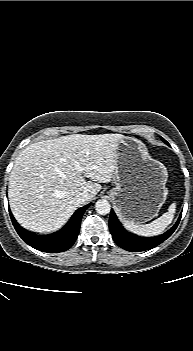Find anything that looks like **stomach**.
Returning a JSON list of instances; mask_svg holds the SVG:
<instances>
[{"mask_svg": "<svg viewBox=\"0 0 193 351\" xmlns=\"http://www.w3.org/2000/svg\"><path fill=\"white\" fill-rule=\"evenodd\" d=\"M115 187L109 191L119 217L145 223L157 216L167 197L168 172L140 140L123 136L116 149Z\"/></svg>", "mask_w": 193, "mask_h": 351, "instance_id": "stomach-1", "label": "stomach"}]
</instances>
